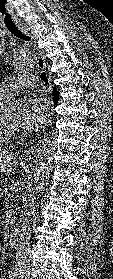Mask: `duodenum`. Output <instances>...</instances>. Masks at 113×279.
I'll return each instance as SVG.
<instances>
[{"instance_id": "obj_1", "label": "duodenum", "mask_w": 113, "mask_h": 279, "mask_svg": "<svg viewBox=\"0 0 113 279\" xmlns=\"http://www.w3.org/2000/svg\"><path fill=\"white\" fill-rule=\"evenodd\" d=\"M21 238V226L19 224H15L11 229L10 240L14 245H18L20 243Z\"/></svg>"}]
</instances>
